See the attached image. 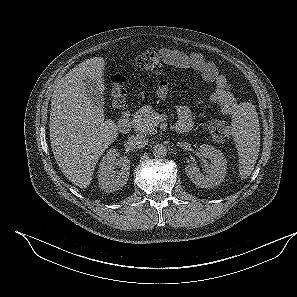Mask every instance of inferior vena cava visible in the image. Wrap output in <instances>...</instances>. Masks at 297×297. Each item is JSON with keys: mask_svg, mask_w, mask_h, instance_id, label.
I'll list each match as a JSON object with an SVG mask.
<instances>
[{"mask_svg": "<svg viewBox=\"0 0 297 297\" xmlns=\"http://www.w3.org/2000/svg\"><path fill=\"white\" fill-rule=\"evenodd\" d=\"M129 143L134 148L142 149L148 144V139L143 135L137 134L129 137Z\"/></svg>", "mask_w": 297, "mask_h": 297, "instance_id": "602c4592", "label": "inferior vena cava"}]
</instances>
